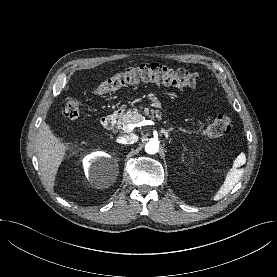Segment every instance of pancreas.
<instances>
[{
	"instance_id": "obj_1",
	"label": "pancreas",
	"mask_w": 277,
	"mask_h": 277,
	"mask_svg": "<svg viewBox=\"0 0 277 277\" xmlns=\"http://www.w3.org/2000/svg\"><path fill=\"white\" fill-rule=\"evenodd\" d=\"M151 116L153 119L157 117L158 120H162L163 115L159 113L158 110H150L149 108H145L143 113H140L138 109L128 110L126 113L120 115V118L117 121V127L120 129L125 128L128 124H136L144 119V116ZM166 122V121H164Z\"/></svg>"
}]
</instances>
